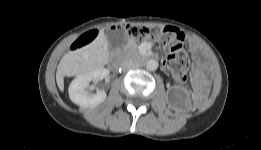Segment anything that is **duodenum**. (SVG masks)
Wrapping results in <instances>:
<instances>
[{"mask_svg": "<svg viewBox=\"0 0 261 150\" xmlns=\"http://www.w3.org/2000/svg\"><path fill=\"white\" fill-rule=\"evenodd\" d=\"M120 65V58L118 56H115L114 58H112L111 60V66L114 69H117Z\"/></svg>", "mask_w": 261, "mask_h": 150, "instance_id": "410a0bca", "label": "duodenum"}]
</instances>
